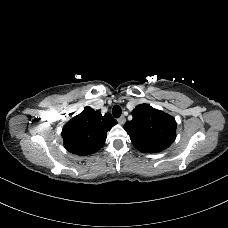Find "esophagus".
I'll list each match as a JSON object with an SVG mask.
<instances>
[{"instance_id": "1", "label": "esophagus", "mask_w": 228, "mask_h": 228, "mask_svg": "<svg viewBox=\"0 0 228 228\" xmlns=\"http://www.w3.org/2000/svg\"><path fill=\"white\" fill-rule=\"evenodd\" d=\"M118 123L123 125L126 122V118L124 116H121L120 118L117 119Z\"/></svg>"}]
</instances>
